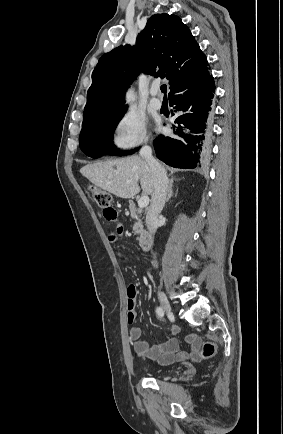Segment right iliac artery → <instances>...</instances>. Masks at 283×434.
I'll list each match as a JSON object with an SVG mask.
<instances>
[{
	"mask_svg": "<svg viewBox=\"0 0 283 434\" xmlns=\"http://www.w3.org/2000/svg\"><path fill=\"white\" fill-rule=\"evenodd\" d=\"M156 314L158 315V317H163L164 316V311L161 307H157L156 308Z\"/></svg>",
	"mask_w": 283,
	"mask_h": 434,
	"instance_id": "82829eb1",
	"label": "right iliac artery"
}]
</instances>
